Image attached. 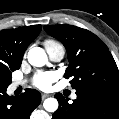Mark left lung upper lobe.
Listing matches in <instances>:
<instances>
[{
	"mask_svg": "<svg viewBox=\"0 0 119 119\" xmlns=\"http://www.w3.org/2000/svg\"><path fill=\"white\" fill-rule=\"evenodd\" d=\"M44 29L67 50L69 66L65 78H71L72 88L119 92L117 65L101 39L72 25H47Z\"/></svg>",
	"mask_w": 119,
	"mask_h": 119,
	"instance_id": "obj_1",
	"label": "left lung upper lobe"
}]
</instances>
